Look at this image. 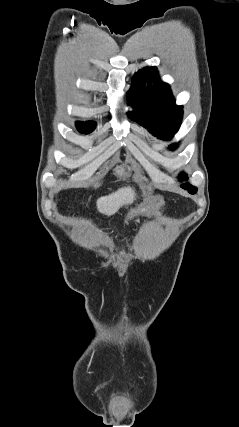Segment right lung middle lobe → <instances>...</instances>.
Listing matches in <instances>:
<instances>
[{"instance_id":"right-lung-middle-lobe-1","label":"right lung middle lobe","mask_w":239,"mask_h":427,"mask_svg":"<svg viewBox=\"0 0 239 427\" xmlns=\"http://www.w3.org/2000/svg\"><path fill=\"white\" fill-rule=\"evenodd\" d=\"M95 123L92 121L89 122H77L76 123V127L78 129V131H80L81 133H90L95 129Z\"/></svg>"}]
</instances>
